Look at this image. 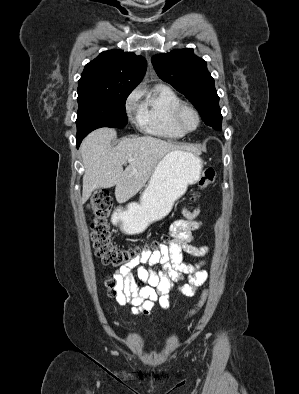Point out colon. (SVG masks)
I'll list each match as a JSON object with an SVG mask.
<instances>
[{"label":"colon","instance_id":"5ec220e1","mask_svg":"<svg viewBox=\"0 0 299 394\" xmlns=\"http://www.w3.org/2000/svg\"><path fill=\"white\" fill-rule=\"evenodd\" d=\"M216 179V173L212 168H206L198 182V189L191 195L190 201L196 202L200 197V192L207 186L213 184ZM113 207V198L109 192L105 190L97 191L93 194L88 202V209L94 214L92 222V240L95 253L101 261L110 266H121L130 263L136 258L140 257L144 251L159 250L162 247H167L171 244L173 236L171 234H163L159 239L152 241L149 245H134L130 247L116 246L111 239V231L108 224V217ZM105 287L109 291L116 288L117 282L114 278H107L104 282ZM206 299V292L201 296L196 310L197 312L203 305Z\"/></svg>","mask_w":299,"mask_h":394}]
</instances>
